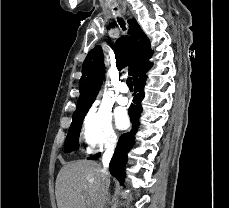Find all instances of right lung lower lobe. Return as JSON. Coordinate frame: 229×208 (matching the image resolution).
Here are the masks:
<instances>
[{
  "label": "right lung lower lobe",
  "mask_w": 229,
  "mask_h": 208,
  "mask_svg": "<svg viewBox=\"0 0 229 208\" xmlns=\"http://www.w3.org/2000/svg\"><path fill=\"white\" fill-rule=\"evenodd\" d=\"M146 74L143 76L138 77L134 80V98L133 103L129 107V116L132 123V131L129 133H125L119 139L116 151L113 155V158L110 162V173L114 176L117 180L120 181L121 184L124 182V167L127 162V153L133 147L134 144V132H136L139 124V116L142 111L141 107V100L144 96L143 87L145 85ZM100 156V153L89 157V160H95Z\"/></svg>",
  "instance_id": "obj_1"
}]
</instances>
